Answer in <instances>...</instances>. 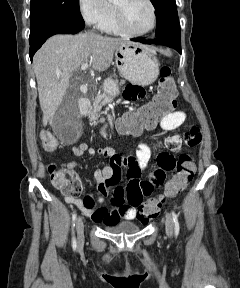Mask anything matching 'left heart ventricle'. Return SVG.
I'll list each match as a JSON object with an SVG mask.
<instances>
[{
    "mask_svg": "<svg viewBox=\"0 0 240 288\" xmlns=\"http://www.w3.org/2000/svg\"><path fill=\"white\" fill-rule=\"evenodd\" d=\"M125 11L130 28L144 32L152 26V10L145 0H114Z\"/></svg>",
    "mask_w": 240,
    "mask_h": 288,
    "instance_id": "b2bd125f",
    "label": "left heart ventricle"
}]
</instances>
